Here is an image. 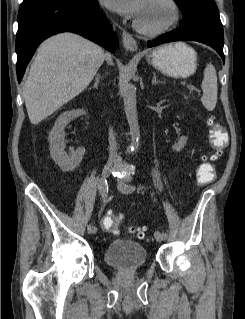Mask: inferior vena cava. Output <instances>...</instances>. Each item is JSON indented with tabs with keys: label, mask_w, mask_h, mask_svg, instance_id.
<instances>
[{
	"label": "inferior vena cava",
	"mask_w": 245,
	"mask_h": 319,
	"mask_svg": "<svg viewBox=\"0 0 245 319\" xmlns=\"http://www.w3.org/2000/svg\"><path fill=\"white\" fill-rule=\"evenodd\" d=\"M109 145H110V160L120 161L121 158L116 152L115 135L112 128L109 129Z\"/></svg>",
	"instance_id": "1"
}]
</instances>
